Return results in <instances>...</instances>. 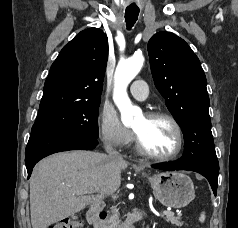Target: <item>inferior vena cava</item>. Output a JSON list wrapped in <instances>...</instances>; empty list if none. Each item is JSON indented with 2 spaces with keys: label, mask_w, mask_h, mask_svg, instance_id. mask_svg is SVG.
I'll return each mask as SVG.
<instances>
[{
  "label": "inferior vena cava",
  "mask_w": 238,
  "mask_h": 228,
  "mask_svg": "<svg viewBox=\"0 0 238 228\" xmlns=\"http://www.w3.org/2000/svg\"><path fill=\"white\" fill-rule=\"evenodd\" d=\"M105 150L109 154L110 157L121 158V155L117 151H115L110 144H106Z\"/></svg>",
  "instance_id": "602c4592"
}]
</instances>
